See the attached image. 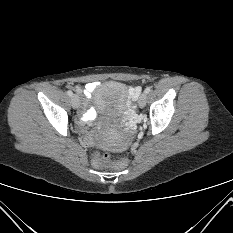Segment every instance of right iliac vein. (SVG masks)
Returning a JSON list of instances; mask_svg holds the SVG:
<instances>
[{
	"mask_svg": "<svg viewBox=\"0 0 233 233\" xmlns=\"http://www.w3.org/2000/svg\"><path fill=\"white\" fill-rule=\"evenodd\" d=\"M71 104L74 109H77L80 105V100L77 95H72Z\"/></svg>",
	"mask_w": 233,
	"mask_h": 233,
	"instance_id": "right-iliac-vein-1",
	"label": "right iliac vein"
}]
</instances>
